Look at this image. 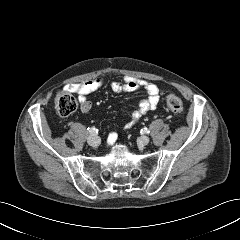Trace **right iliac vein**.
Here are the masks:
<instances>
[{"label": "right iliac vein", "mask_w": 240, "mask_h": 240, "mask_svg": "<svg viewBox=\"0 0 240 240\" xmlns=\"http://www.w3.org/2000/svg\"><path fill=\"white\" fill-rule=\"evenodd\" d=\"M87 143L92 147H97L100 144V138L96 135H90L87 138Z\"/></svg>", "instance_id": "obj_1"}]
</instances>
